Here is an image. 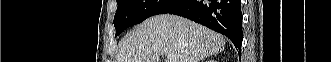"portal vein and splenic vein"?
Returning <instances> with one entry per match:
<instances>
[{"instance_id": "18ae733b", "label": "portal vein and splenic vein", "mask_w": 331, "mask_h": 62, "mask_svg": "<svg viewBox=\"0 0 331 62\" xmlns=\"http://www.w3.org/2000/svg\"><path fill=\"white\" fill-rule=\"evenodd\" d=\"M166 62H176V56L173 54H168Z\"/></svg>"}]
</instances>
